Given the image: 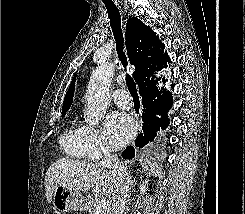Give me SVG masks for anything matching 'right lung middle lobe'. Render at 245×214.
Wrapping results in <instances>:
<instances>
[{
	"instance_id": "obj_1",
	"label": "right lung middle lobe",
	"mask_w": 245,
	"mask_h": 214,
	"mask_svg": "<svg viewBox=\"0 0 245 214\" xmlns=\"http://www.w3.org/2000/svg\"><path fill=\"white\" fill-rule=\"evenodd\" d=\"M65 115V113H62V116H64Z\"/></svg>"
}]
</instances>
